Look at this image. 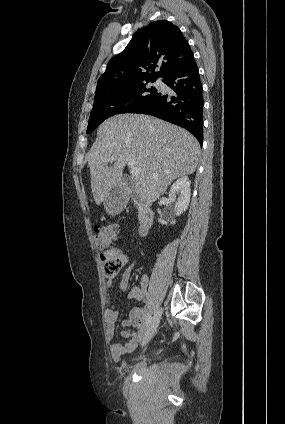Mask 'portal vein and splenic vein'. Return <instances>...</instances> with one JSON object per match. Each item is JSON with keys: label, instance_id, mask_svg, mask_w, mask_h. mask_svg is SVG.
Wrapping results in <instances>:
<instances>
[{"label": "portal vein and splenic vein", "instance_id": "18ae733b", "mask_svg": "<svg viewBox=\"0 0 285 424\" xmlns=\"http://www.w3.org/2000/svg\"><path fill=\"white\" fill-rule=\"evenodd\" d=\"M110 159H111V161H114L116 159V157L112 156ZM128 165L131 169L130 173H131L132 177H138L140 175L141 169L135 165V162L133 160H129Z\"/></svg>", "mask_w": 285, "mask_h": 424}]
</instances>
